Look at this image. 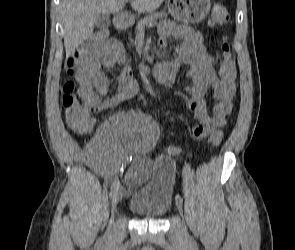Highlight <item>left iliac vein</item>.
I'll use <instances>...</instances> for the list:
<instances>
[{"mask_svg": "<svg viewBox=\"0 0 295 250\" xmlns=\"http://www.w3.org/2000/svg\"><path fill=\"white\" fill-rule=\"evenodd\" d=\"M177 206H178L179 211L182 212V204L177 202Z\"/></svg>", "mask_w": 295, "mask_h": 250, "instance_id": "left-iliac-vein-1", "label": "left iliac vein"}]
</instances>
